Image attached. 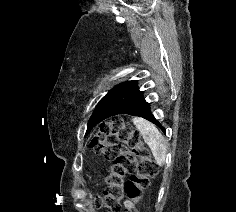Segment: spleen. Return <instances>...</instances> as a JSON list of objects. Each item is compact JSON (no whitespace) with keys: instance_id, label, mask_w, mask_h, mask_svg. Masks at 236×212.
<instances>
[{"instance_id":"obj_1","label":"spleen","mask_w":236,"mask_h":212,"mask_svg":"<svg viewBox=\"0 0 236 212\" xmlns=\"http://www.w3.org/2000/svg\"><path fill=\"white\" fill-rule=\"evenodd\" d=\"M132 122L150 147L157 164L163 166L166 158V143L162 134L155 125L141 117H134Z\"/></svg>"}]
</instances>
